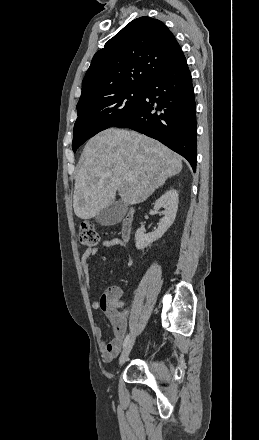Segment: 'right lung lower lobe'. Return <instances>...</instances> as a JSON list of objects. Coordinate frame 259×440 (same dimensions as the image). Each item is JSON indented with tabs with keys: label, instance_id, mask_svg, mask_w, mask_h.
<instances>
[{
	"label": "right lung lower lobe",
	"instance_id": "1",
	"mask_svg": "<svg viewBox=\"0 0 259 440\" xmlns=\"http://www.w3.org/2000/svg\"><path fill=\"white\" fill-rule=\"evenodd\" d=\"M191 73L184 54L159 73L138 108L115 127L152 137L185 157L196 169V116Z\"/></svg>",
	"mask_w": 259,
	"mask_h": 440
}]
</instances>
